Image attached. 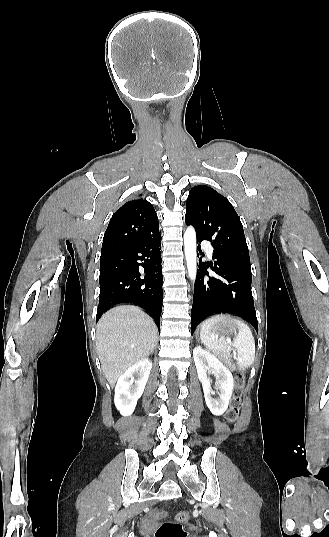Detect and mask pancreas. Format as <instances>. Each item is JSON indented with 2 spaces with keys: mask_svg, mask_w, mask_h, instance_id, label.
<instances>
[{
  "mask_svg": "<svg viewBox=\"0 0 329 537\" xmlns=\"http://www.w3.org/2000/svg\"><path fill=\"white\" fill-rule=\"evenodd\" d=\"M217 356L226 363L227 366H229L231 369H234L235 366L232 364L231 360L229 359V357L225 356V355H222V354H217Z\"/></svg>",
  "mask_w": 329,
  "mask_h": 537,
  "instance_id": "obj_1",
  "label": "pancreas"
}]
</instances>
